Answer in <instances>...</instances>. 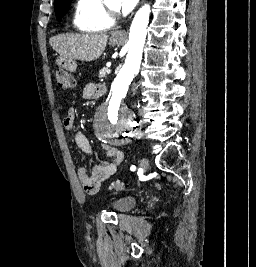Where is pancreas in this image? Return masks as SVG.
<instances>
[{"instance_id": "1", "label": "pancreas", "mask_w": 256, "mask_h": 267, "mask_svg": "<svg viewBox=\"0 0 256 267\" xmlns=\"http://www.w3.org/2000/svg\"><path fill=\"white\" fill-rule=\"evenodd\" d=\"M106 70L107 68H102L101 74H99V78H104Z\"/></svg>"}]
</instances>
